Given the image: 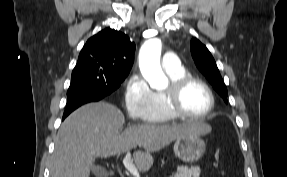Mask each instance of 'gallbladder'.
<instances>
[{
  "mask_svg": "<svg viewBox=\"0 0 287 177\" xmlns=\"http://www.w3.org/2000/svg\"><path fill=\"white\" fill-rule=\"evenodd\" d=\"M92 173L95 175V176H100L104 173H106L105 169L101 166H95L92 168Z\"/></svg>",
  "mask_w": 287,
  "mask_h": 177,
  "instance_id": "bac80fb5",
  "label": "gallbladder"
}]
</instances>
